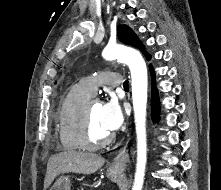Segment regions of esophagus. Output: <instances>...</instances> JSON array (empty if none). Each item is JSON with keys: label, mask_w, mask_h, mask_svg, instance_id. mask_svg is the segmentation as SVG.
Returning a JSON list of instances; mask_svg holds the SVG:
<instances>
[{"label": "esophagus", "mask_w": 221, "mask_h": 190, "mask_svg": "<svg viewBox=\"0 0 221 190\" xmlns=\"http://www.w3.org/2000/svg\"><path fill=\"white\" fill-rule=\"evenodd\" d=\"M128 155L126 152V147H122L118 154L114 157L110 167L111 169L118 171V172H123L126 168V163H127Z\"/></svg>", "instance_id": "1"}]
</instances>
